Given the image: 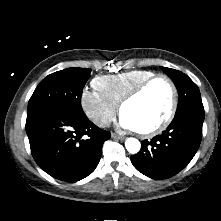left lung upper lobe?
<instances>
[{
    "instance_id": "left-lung-upper-lobe-1",
    "label": "left lung upper lobe",
    "mask_w": 221,
    "mask_h": 221,
    "mask_svg": "<svg viewBox=\"0 0 221 221\" xmlns=\"http://www.w3.org/2000/svg\"><path fill=\"white\" fill-rule=\"evenodd\" d=\"M162 69L171 77L179 93L176 113L190 107H203L198 86L186 74L171 68Z\"/></svg>"
}]
</instances>
